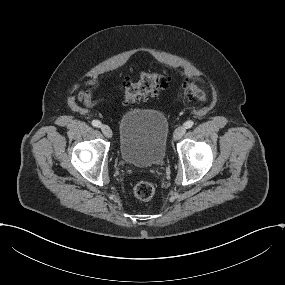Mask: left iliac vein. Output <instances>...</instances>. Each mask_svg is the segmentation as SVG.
<instances>
[{"instance_id":"left-iliac-vein-1","label":"left iliac vein","mask_w":285,"mask_h":285,"mask_svg":"<svg viewBox=\"0 0 285 285\" xmlns=\"http://www.w3.org/2000/svg\"><path fill=\"white\" fill-rule=\"evenodd\" d=\"M185 131L186 129L184 126H179L173 134V140L174 141L179 140L184 135Z\"/></svg>"}]
</instances>
